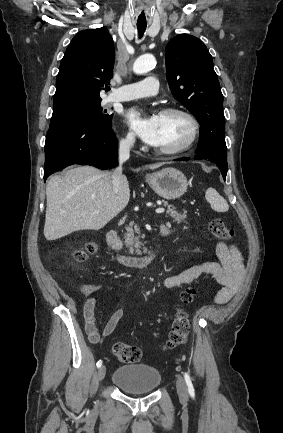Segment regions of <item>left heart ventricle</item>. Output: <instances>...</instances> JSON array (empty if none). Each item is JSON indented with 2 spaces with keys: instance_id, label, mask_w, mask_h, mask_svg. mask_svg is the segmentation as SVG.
I'll list each match as a JSON object with an SVG mask.
<instances>
[{
  "instance_id": "1",
  "label": "left heart ventricle",
  "mask_w": 283,
  "mask_h": 433,
  "mask_svg": "<svg viewBox=\"0 0 283 433\" xmlns=\"http://www.w3.org/2000/svg\"><path fill=\"white\" fill-rule=\"evenodd\" d=\"M162 141L159 151H171L181 147L190 137L192 126L181 114H160Z\"/></svg>"
}]
</instances>
